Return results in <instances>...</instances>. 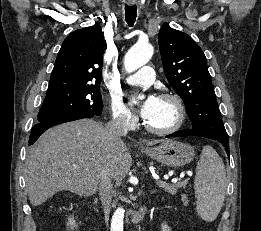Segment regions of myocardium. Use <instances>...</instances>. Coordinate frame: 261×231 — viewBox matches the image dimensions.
Wrapping results in <instances>:
<instances>
[{
	"mask_svg": "<svg viewBox=\"0 0 261 231\" xmlns=\"http://www.w3.org/2000/svg\"><path fill=\"white\" fill-rule=\"evenodd\" d=\"M158 98L160 99H166V100H171L174 105L176 106L177 110V120L176 122L165 129H159L151 126L150 124L147 123L146 120L143 121V125L145 129L153 134L156 135H170L175 132H177L184 124L185 119H186V107L183 102V100L176 94L173 93H161Z\"/></svg>",
	"mask_w": 261,
	"mask_h": 231,
	"instance_id": "myocardium-1",
	"label": "myocardium"
}]
</instances>
